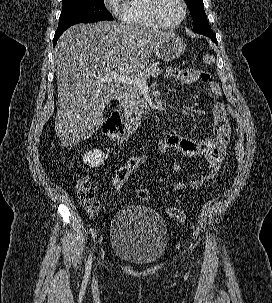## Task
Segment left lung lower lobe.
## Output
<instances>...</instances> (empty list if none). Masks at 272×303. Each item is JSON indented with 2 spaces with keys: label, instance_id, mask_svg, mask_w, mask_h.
<instances>
[{
  "label": "left lung lower lobe",
  "instance_id": "obj_1",
  "mask_svg": "<svg viewBox=\"0 0 272 303\" xmlns=\"http://www.w3.org/2000/svg\"><path fill=\"white\" fill-rule=\"evenodd\" d=\"M203 35L209 37L214 43L217 44V39H216V36L214 35V33H212V34H203Z\"/></svg>",
  "mask_w": 272,
  "mask_h": 303
}]
</instances>
